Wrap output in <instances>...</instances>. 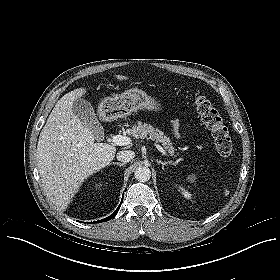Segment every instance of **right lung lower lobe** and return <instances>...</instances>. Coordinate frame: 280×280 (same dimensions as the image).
Here are the masks:
<instances>
[{
    "label": "right lung lower lobe",
    "instance_id": "right-lung-lower-lobe-1",
    "mask_svg": "<svg viewBox=\"0 0 280 280\" xmlns=\"http://www.w3.org/2000/svg\"><path fill=\"white\" fill-rule=\"evenodd\" d=\"M122 201H123V199H122ZM122 201H121V203H122ZM121 203H120L119 207L116 209V211H115L113 214H111L110 216H108V217H106V218H104V219H101V220H99V221H96V223H97V222L100 223V222H104V221H109L110 219H112V218L118 213L119 208H120V206H121Z\"/></svg>",
    "mask_w": 280,
    "mask_h": 280
}]
</instances>
